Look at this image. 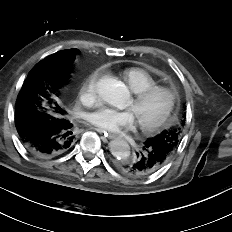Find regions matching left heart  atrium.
<instances>
[{"mask_svg":"<svg viewBox=\"0 0 232 232\" xmlns=\"http://www.w3.org/2000/svg\"><path fill=\"white\" fill-rule=\"evenodd\" d=\"M85 118L94 127L113 133L132 129L136 123L135 116L130 110H116L109 107H100L86 114Z\"/></svg>","mask_w":232,"mask_h":232,"instance_id":"obj_1","label":"left heart atrium"}]
</instances>
